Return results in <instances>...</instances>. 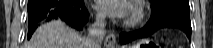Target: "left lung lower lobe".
<instances>
[{
	"instance_id": "left-lung-lower-lobe-1",
	"label": "left lung lower lobe",
	"mask_w": 213,
	"mask_h": 48,
	"mask_svg": "<svg viewBox=\"0 0 213 48\" xmlns=\"http://www.w3.org/2000/svg\"><path fill=\"white\" fill-rule=\"evenodd\" d=\"M166 27L182 30L191 40L190 11L175 6H164L158 10H153L151 18L144 28L130 33H122L119 39L122 44H126L135 39L148 37L158 29Z\"/></svg>"
}]
</instances>
